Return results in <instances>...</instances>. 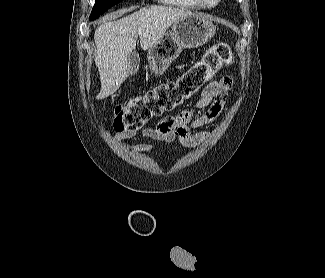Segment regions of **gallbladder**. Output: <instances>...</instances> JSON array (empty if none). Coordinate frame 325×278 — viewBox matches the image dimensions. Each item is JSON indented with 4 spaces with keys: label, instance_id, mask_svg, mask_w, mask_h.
I'll use <instances>...</instances> for the list:
<instances>
[{
    "label": "gallbladder",
    "instance_id": "obj_1",
    "mask_svg": "<svg viewBox=\"0 0 325 278\" xmlns=\"http://www.w3.org/2000/svg\"><path fill=\"white\" fill-rule=\"evenodd\" d=\"M129 64L131 66L130 75L132 76L137 72L139 67V56L135 51L130 54Z\"/></svg>",
    "mask_w": 325,
    "mask_h": 278
}]
</instances>
